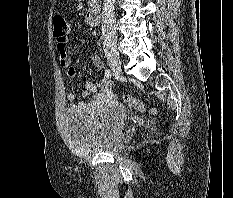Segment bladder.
Returning a JSON list of instances; mask_svg holds the SVG:
<instances>
[{
    "mask_svg": "<svg viewBox=\"0 0 233 198\" xmlns=\"http://www.w3.org/2000/svg\"><path fill=\"white\" fill-rule=\"evenodd\" d=\"M126 111L112 103L92 113L68 110L63 128L68 145L81 153L119 152L128 141L124 127Z\"/></svg>",
    "mask_w": 233,
    "mask_h": 198,
    "instance_id": "31cf9c89",
    "label": "bladder"
}]
</instances>
